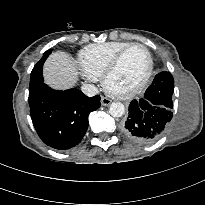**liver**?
Instances as JSON below:
<instances>
[{
	"label": "liver",
	"mask_w": 205,
	"mask_h": 205,
	"mask_svg": "<svg viewBox=\"0 0 205 205\" xmlns=\"http://www.w3.org/2000/svg\"><path fill=\"white\" fill-rule=\"evenodd\" d=\"M45 83L52 88L64 90L75 85L78 71L74 59L65 52H54L43 68Z\"/></svg>",
	"instance_id": "6515ba94"
}]
</instances>
